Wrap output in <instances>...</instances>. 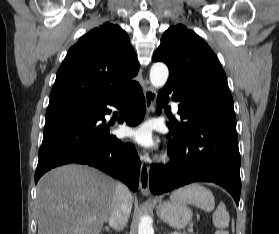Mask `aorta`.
<instances>
[{"label": "aorta", "mask_w": 279, "mask_h": 234, "mask_svg": "<svg viewBox=\"0 0 279 234\" xmlns=\"http://www.w3.org/2000/svg\"><path fill=\"white\" fill-rule=\"evenodd\" d=\"M168 76L169 70L164 63L156 62L152 65L149 77L153 87H163L167 82ZM138 234H154L152 220L148 215L141 217L138 225Z\"/></svg>", "instance_id": "aorta-1"}]
</instances>
